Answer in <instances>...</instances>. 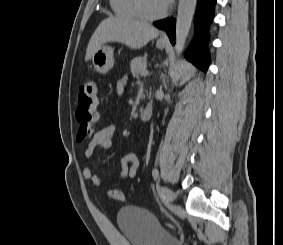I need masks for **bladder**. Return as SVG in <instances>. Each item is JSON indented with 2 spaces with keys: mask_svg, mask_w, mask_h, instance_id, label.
Masks as SVG:
<instances>
[{
  "mask_svg": "<svg viewBox=\"0 0 283 245\" xmlns=\"http://www.w3.org/2000/svg\"><path fill=\"white\" fill-rule=\"evenodd\" d=\"M117 225L130 245H181L148 210L138 206L122 207L116 215Z\"/></svg>",
  "mask_w": 283,
  "mask_h": 245,
  "instance_id": "31cf9c89",
  "label": "bladder"
}]
</instances>
